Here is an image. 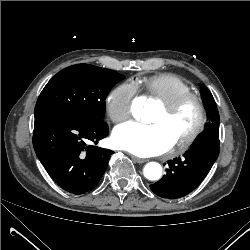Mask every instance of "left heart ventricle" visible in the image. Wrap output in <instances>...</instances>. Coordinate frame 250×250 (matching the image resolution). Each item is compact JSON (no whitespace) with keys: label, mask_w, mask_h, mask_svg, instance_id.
<instances>
[{"label":"left heart ventricle","mask_w":250,"mask_h":250,"mask_svg":"<svg viewBox=\"0 0 250 250\" xmlns=\"http://www.w3.org/2000/svg\"><path fill=\"white\" fill-rule=\"evenodd\" d=\"M197 121V109L194 103L189 102L181 107L171 116H166L161 107L151 123L163 126L169 133L173 141L185 136L195 125Z\"/></svg>","instance_id":"obj_1"}]
</instances>
